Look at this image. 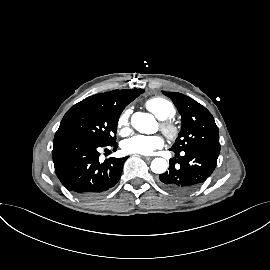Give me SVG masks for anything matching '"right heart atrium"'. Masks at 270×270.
Segmentation results:
<instances>
[{"mask_svg":"<svg viewBox=\"0 0 270 270\" xmlns=\"http://www.w3.org/2000/svg\"><path fill=\"white\" fill-rule=\"evenodd\" d=\"M130 115L131 110L125 108L117 118V128L122 135H126L130 131Z\"/></svg>","mask_w":270,"mask_h":270,"instance_id":"obj_1","label":"right heart atrium"}]
</instances>
